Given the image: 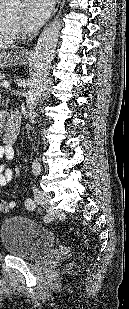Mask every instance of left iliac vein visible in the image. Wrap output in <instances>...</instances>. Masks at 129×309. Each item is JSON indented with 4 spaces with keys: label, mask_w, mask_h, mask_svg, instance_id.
Instances as JSON below:
<instances>
[{
    "label": "left iliac vein",
    "mask_w": 129,
    "mask_h": 309,
    "mask_svg": "<svg viewBox=\"0 0 129 309\" xmlns=\"http://www.w3.org/2000/svg\"><path fill=\"white\" fill-rule=\"evenodd\" d=\"M36 201L39 205L44 207L50 217H53L57 214L54 208L50 205L51 195L45 191L37 189L34 191Z\"/></svg>",
    "instance_id": "4c4485c4"
}]
</instances>
